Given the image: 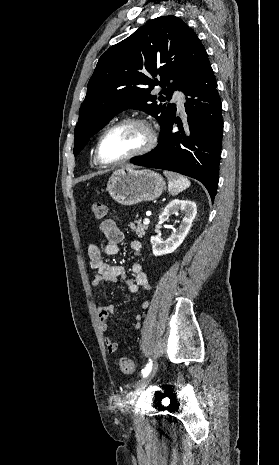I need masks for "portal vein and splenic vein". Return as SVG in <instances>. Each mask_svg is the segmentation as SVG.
Here are the masks:
<instances>
[{
	"label": "portal vein and splenic vein",
	"mask_w": 279,
	"mask_h": 465,
	"mask_svg": "<svg viewBox=\"0 0 279 465\" xmlns=\"http://www.w3.org/2000/svg\"><path fill=\"white\" fill-rule=\"evenodd\" d=\"M143 223H144L145 225H148V224L150 223L149 218H145L144 221H143Z\"/></svg>",
	"instance_id": "portal-vein-and-splenic-vein-1"
}]
</instances>
